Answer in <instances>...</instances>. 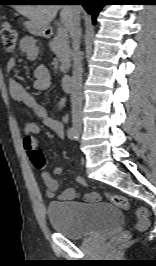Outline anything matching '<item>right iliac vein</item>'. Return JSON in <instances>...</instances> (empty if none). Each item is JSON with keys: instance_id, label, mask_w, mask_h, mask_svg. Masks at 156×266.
Listing matches in <instances>:
<instances>
[{"instance_id": "1", "label": "right iliac vein", "mask_w": 156, "mask_h": 266, "mask_svg": "<svg viewBox=\"0 0 156 266\" xmlns=\"http://www.w3.org/2000/svg\"><path fill=\"white\" fill-rule=\"evenodd\" d=\"M73 126H74V129L76 130V132H77L78 134H80L81 131H82V125H81V123H80L79 121H75V122L73 123Z\"/></svg>"}]
</instances>
